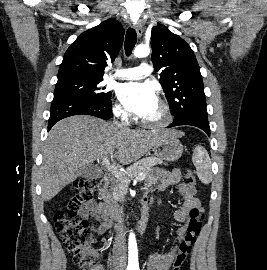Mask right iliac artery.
<instances>
[{
	"mask_svg": "<svg viewBox=\"0 0 267 270\" xmlns=\"http://www.w3.org/2000/svg\"><path fill=\"white\" fill-rule=\"evenodd\" d=\"M127 270H133V267L132 266H128L127 267Z\"/></svg>",
	"mask_w": 267,
	"mask_h": 270,
	"instance_id": "right-iliac-artery-1",
	"label": "right iliac artery"
}]
</instances>
